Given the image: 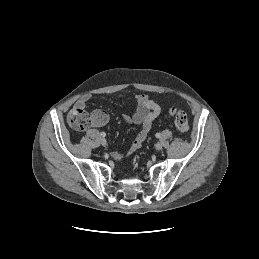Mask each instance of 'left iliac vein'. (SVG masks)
<instances>
[{
	"instance_id": "1",
	"label": "left iliac vein",
	"mask_w": 259,
	"mask_h": 259,
	"mask_svg": "<svg viewBox=\"0 0 259 259\" xmlns=\"http://www.w3.org/2000/svg\"><path fill=\"white\" fill-rule=\"evenodd\" d=\"M155 147H156L157 150H161L162 144L160 142H158Z\"/></svg>"
}]
</instances>
